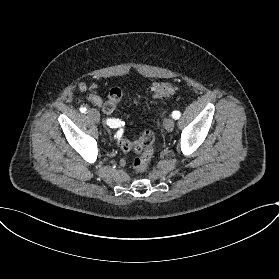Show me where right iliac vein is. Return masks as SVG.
<instances>
[{
	"label": "right iliac vein",
	"instance_id": "63e3f726",
	"mask_svg": "<svg viewBox=\"0 0 279 279\" xmlns=\"http://www.w3.org/2000/svg\"><path fill=\"white\" fill-rule=\"evenodd\" d=\"M88 113L95 121L99 122L100 115L96 109L92 108Z\"/></svg>",
	"mask_w": 279,
	"mask_h": 279
}]
</instances>
